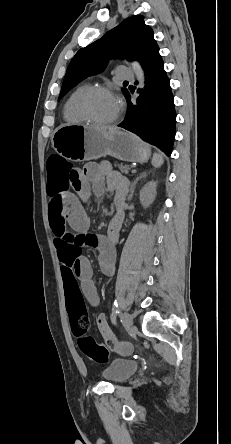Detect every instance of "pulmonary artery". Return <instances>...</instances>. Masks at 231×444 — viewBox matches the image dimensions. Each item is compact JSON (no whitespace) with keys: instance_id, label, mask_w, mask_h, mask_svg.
Wrapping results in <instances>:
<instances>
[{"instance_id":"obj_1","label":"pulmonary artery","mask_w":231,"mask_h":444,"mask_svg":"<svg viewBox=\"0 0 231 444\" xmlns=\"http://www.w3.org/2000/svg\"><path fill=\"white\" fill-rule=\"evenodd\" d=\"M116 77L121 80H132L134 79L133 72L128 67H119L117 69Z\"/></svg>"}]
</instances>
